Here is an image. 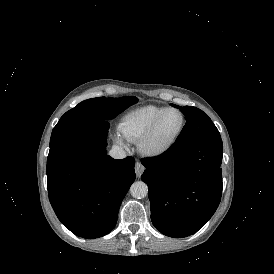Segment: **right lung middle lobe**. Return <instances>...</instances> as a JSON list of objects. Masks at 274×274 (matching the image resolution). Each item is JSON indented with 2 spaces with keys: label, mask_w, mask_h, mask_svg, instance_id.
I'll list each match as a JSON object with an SVG mask.
<instances>
[{
  "label": "right lung middle lobe",
  "mask_w": 274,
  "mask_h": 274,
  "mask_svg": "<svg viewBox=\"0 0 274 274\" xmlns=\"http://www.w3.org/2000/svg\"><path fill=\"white\" fill-rule=\"evenodd\" d=\"M137 102L138 99L134 96L121 98L99 97L82 101L60 118L52 131L50 147L64 141L95 122L113 119Z\"/></svg>",
  "instance_id": "dd1d6c3e"
}]
</instances>
